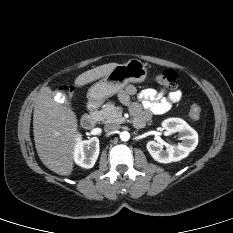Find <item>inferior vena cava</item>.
<instances>
[{
    "label": "inferior vena cava",
    "instance_id": "602c4592",
    "mask_svg": "<svg viewBox=\"0 0 233 233\" xmlns=\"http://www.w3.org/2000/svg\"><path fill=\"white\" fill-rule=\"evenodd\" d=\"M119 129V125L118 124H114V123H107L104 126V130L107 133H114L115 131H117Z\"/></svg>",
    "mask_w": 233,
    "mask_h": 233
}]
</instances>
